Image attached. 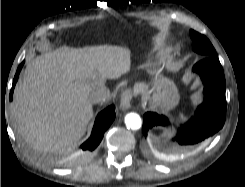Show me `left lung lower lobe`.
I'll use <instances>...</instances> for the list:
<instances>
[{"label":"left lung lower lobe","instance_id":"0a47b994","mask_svg":"<svg viewBox=\"0 0 245 187\" xmlns=\"http://www.w3.org/2000/svg\"><path fill=\"white\" fill-rule=\"evenodd\" d=\"M193 71L204 83L205 98L194 117L179 129L175 139L181 145H194L213 136L223 127L226 118L225 77L217 55L203 58L194 65ZM166 124L165 116L147 112L143 116V134L147 135L153 126Z\"/></svg>","mask_w":245,"mask_h":187}]
</instances>
